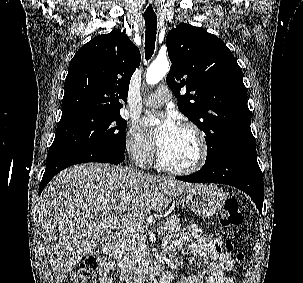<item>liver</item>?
Instances as JSON below:
<instances>
[{
  "label": "liver",
  "instance_id": "1",
  "mask_svg": "<svg viewBox=\"0 0 303 283\" xmlns=\"http://www.w3.org/2000/svg\"><path fill=\"white\" fill-rule=\"evenodd\" d=\"M193 185L102 163L61 171L43 190L40 223L56 283L97 245L108 242L98 220L117 216L138 223L150 210L161 212Z\"/></svg>",
  "mask_w": 303,
  "mask_h": 283
}]
</instances>
